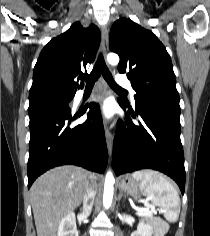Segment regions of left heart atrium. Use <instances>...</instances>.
<instances>
[{
  "instance_id": "39dd6f15",
  "label": "left heart atrium",
  "mask_w": 210,
  "mask_h": 236,
  "mask_svg": "<svg viewBox=\"0 0 210 236\" xmlns=\"http://www.w3.org/2000/svg\"><path fill=\"white\" fill-rule=\"evenodd\" d=\"M99 111L103 118L110 119L114 112L112 103L110 101L102 102L99 107Z\"/></svg>"
}]
</instances>
